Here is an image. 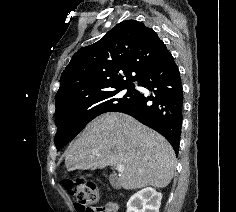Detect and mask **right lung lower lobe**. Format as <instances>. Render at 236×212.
<instances>
[{
    "mask_svg": "<svg viewBox=\"0 0 236 212\" xmlns=\"http://www.w3.org/2000/svg\"><path fill=\"white\" fill-rule=\"evenodd\" d=\"M151 93L137 91L135 99L115 112L131 115L163 135L178 155L183 112L180 72L172 54L166 49L138 81Z\"/></svg>",
    "mask_w": 236,
    "mask_h": 212,
    "instance_id": "98d812e1",
    "label": "right lung lower lobe"
}]
</instances>
